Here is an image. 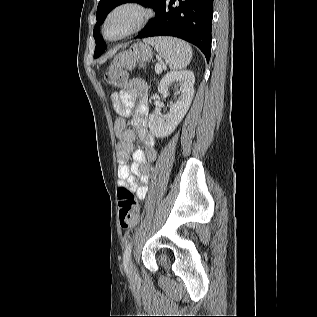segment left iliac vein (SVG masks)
<instances>
[{"label": "left iliac vein", "mask_w": 317, "mask_h": 317, "mask_svg": "<svg viewBox=\"0 0 317 317\" xmlns=\"http://www.w3.org/2000/svg\"><path fill=\"white\" fill-rule=\"evenodd\" d=\"M128 274H129V277L131 279H136L137 278L136 267H135V265H134L132 260H130L129 263H128Z\"/></svg>", "instance_id": "4c4485c4"}]
</instances>
